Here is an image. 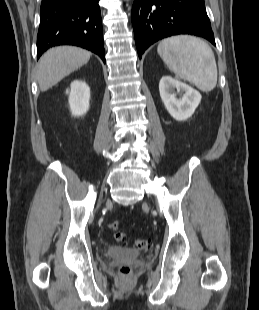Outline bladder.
Masks as SVG:
<instances>
[{
	"instance_id": "31cf9c89",
	"label": "bladder",
	"mask_w": 259,
	"mask_h": 310,
	"mask_svg": "<svg viewBox=\"0 0 259 310\" xmlns=\"http://www.w3.org/2000/svg\"><path fill=\"white\" fill-rule=\"evenodd\" d=\"M106 255L112 259L134 260L140 257V253L130 249H125L119 246H109L106 250Z\"/></svg>"
}]
</instances>
